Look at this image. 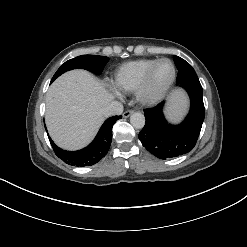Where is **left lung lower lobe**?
<instances>
[{"instance_id":"1","label":"left lung lower lobe","mask_w":247,"mask_h":247,"mask_svg":"<svg viewBox=\"0 0 247 247\" xmlns=\"http://www.w3.org/2000/svg\"><path fill=\"white\" fill-rule=\"evenodd\" d=\"M191 100L190 112L179 125L169 124L163 115V105L144 110L146 123L139 133L142 145L160 159L172 158L188 153L199 137L205 111L202 86L199 81L181 85Z\"/></svg>"}]
</instances>
